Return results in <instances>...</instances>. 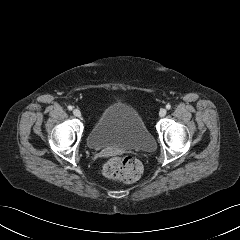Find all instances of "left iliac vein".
Listing matches in <instances>:
<instances>
[{"instance_id":"obj_1","label":"left iliac vein","mask_w":240,"mask_h":240,"mask_svg":"<svg viewBox=\"0 0 240 240\" xmlns=\"http://www.w3.org/2000/svg\"><path fill=\"white\" fill-rule=\"evenodd\" d=\"M166 110L165 109H160V111H159V116L160 117H164L165 115H166Z\"/></svg>"}]
</instances>
